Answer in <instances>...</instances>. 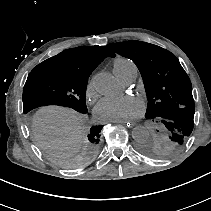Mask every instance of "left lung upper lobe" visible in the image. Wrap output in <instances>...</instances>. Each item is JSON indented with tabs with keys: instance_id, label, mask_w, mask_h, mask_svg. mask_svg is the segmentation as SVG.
Returning <instances> with one entry per match:
<instances>
[{
	"instance_id": "1",
	"label": "left lung upper lobe",
	"mask_w": 211,
	"mask_h": 211,
	"mask_svg": "<svg viewBox=\"0 0 211 211\" xmlns=\"http://www.w3.org/2000/svg\"><path fill=\"white\" fill-rule=\"evenodd\" d=\"M107 47L131 59L143 78L148 99L145 117L155 124L157 133L141 141L139 150L151 158L177 154L191 135L195 113L192 85L179 60L168 50L141 41Z\"/></svg>"
}]
</instances>
